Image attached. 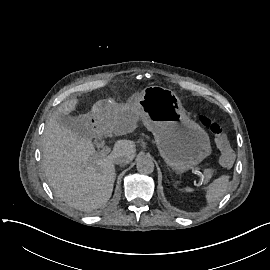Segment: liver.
Listing matches in <instances>:
<instances>
[{
	"label": "liver",
	"mask_w": 270,
	"mask_h": 270,
	"mask_svg": "<svg viewBox=\"0 0 270 270\" xmlns=\"http://www.w3.org/2000/svg\"><path fill=\"white\" fill-rule=\"evenodd\" d=\"M136 96L129 99V112L121 119L88 112L80 117L102 123L116 135H128L136 130L142 112L136 105ZM78 98L67 100L49 119L43 135V159L45 175L58 198L77 209L92 210L109 201L114 181L116 155L125 156L128 164L136 156L135 143L118 140L109 155L95 154V148L85 133L79 136L59 122L57 116L76 111Z\"/></svg>",
	"instance_id": "obj_1"
}]
</instances>
